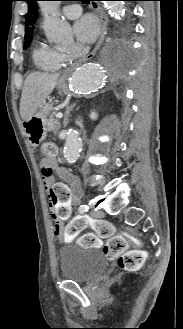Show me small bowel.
Instances as JSON below:
<instances>
[{
  "label": "small bowel",
  "instance_id": "obj_1",
  "mask_svg": "<svg viewBox=\"0 0 183 329\" xmlns=\"http://www.w3.org/2000/svg\"><path fill=\"white\" fill-rule=\"evenodd\" d=\"M57 171L58 176L65 182H51L50 187L46 182L47 193L49 195L50 213L55 221L54 234L61 242L68 241L64 234V219H67L71 210H74V204L80 201L81 186L78 177L67 169L58 166L57 162H44ZM66 183L68 187H66Z\"/></svg>",
  "mask_w": 183,
  "mask_h": 329
}]
</instances>
